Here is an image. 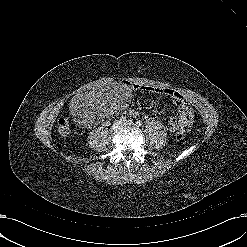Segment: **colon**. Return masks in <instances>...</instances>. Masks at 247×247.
I'll use <instances>...</instances> for the list:
<instances>
[{
	"instance_id": "colon-1",
	"label": "colon",
	"mask_w": 247,
	"mask_h": 247,
	"mask_svg": "<svg viewBox=\"0 0 247 247\" xmlns=\"http://www.w3.org/2000/svg\"><path fill=\"white\" fill-rule=\"evenodd\" d=\"M57 131L60 135H67L70 131V122L68 118L66 117H61L58 119L57 124ZM187 130L185 129H177L175 131V137L176 139L180 140L184 137L185 133Z\"/></svg>"
}]
</instances>
